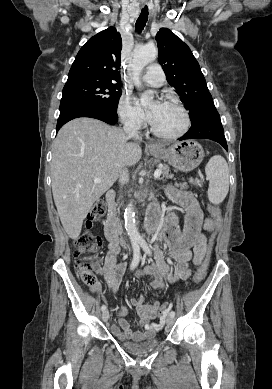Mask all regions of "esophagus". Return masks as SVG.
Instances as JSON below:
<instances>
[{
    "instance_id": "obj_1",
    "label": "esophagus",
    "mask_w": 272,
    "mask_h": 389,
    "mask_svg": "<svg viewBox=\"0 0 272 389\" xmlns=\"http://www.w3.org/2000/svg\"><path fill=\"white\" fill-rule=\"evenodd\" d=\"M147 147H149V148H155L156 145H155V144H152V143H148V144H147Z\"/></svg>"
}]
</instances>
